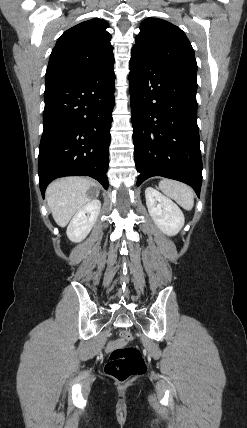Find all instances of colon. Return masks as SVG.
I'll return each instance as SVG.
<instances>
[{"label":"colon","mask_w":247,"mask_h":428,"mask_svg":"<svg viewBox=\"0 0 247 428\" xmlns=\"http://www.w3.org/2000/svg\"><path fill=\"white\" fill-rule=\"evenodd\" d=\"M132 336L125 331L120 338L110 344V356L105 372L113 379L124 382L130 377L142 374L146 366L138 348L129 346Z\"/></svg>","instance_id":"colon-1"}]
</instances>
